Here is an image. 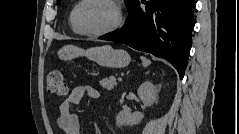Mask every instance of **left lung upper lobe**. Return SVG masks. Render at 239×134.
<instances>
[{"label":"left lung upper lobe","mask_w":239,"mask_h":134,"mask_svg":"<svg viewBox=\"0 0 239 134\" xmlns=\"http://www.w3.org/2000/svg\"><path fill=\"white\" fill-rule=\"evenodd\" d=\"M61 2V0H57V4H59ZM128 8L130 9V7L132 6V4L135 2V0H125Z\"/></svg>","instance_id":"5c2ea615"}]
</instances>
